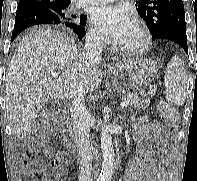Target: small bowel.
Returning a JSON list of instances; mask_svg holds the SVG:
<instances>
[{
  "instance_id": "c3829d8e",
  "label": "small bowel",
  "mask_w": 197,
  "mask_h": 181,
  "mask_svg": "<svg viewBox=\"0 0 197 181\" xmlns=\"http://www.w3.org/2000/svg\"><path fill=\"white\" fill-rule=\"evenodd\" d=\"M172 129L146 118L139 120L134 129L138 142L137 156L131 159L123 181H171L173 177V148L170 144Z\"/></svg>"
}]
</instances>
